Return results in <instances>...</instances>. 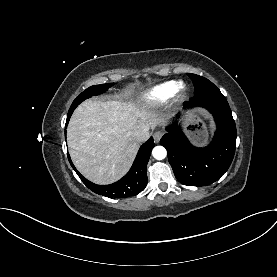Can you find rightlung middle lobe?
Masks as SVG:
<instances>
[{
    "mask_svg": "<svg viewBox=\"0 0 277 277\" xmlns=\"http://www.w3.org/2000/svg\"><path fill=\"white\" fill-rule=\"evenodd\" d=\"M112 85H114V83H110V84H102V85H94L91 86L89 88H87L86 90H84L81 94H79V96L73 101L68 115H67V120L70 119L74 109L85 99L90 98L92 96L95 95H99L104 93L105 91L108 90L109 87H111Z\"/></svg>",
    "mask_w": 277,
    "mask_h": 277,
    "instance_id": "1",
    "label": "right lung middle lobe"
}]
</instances>
